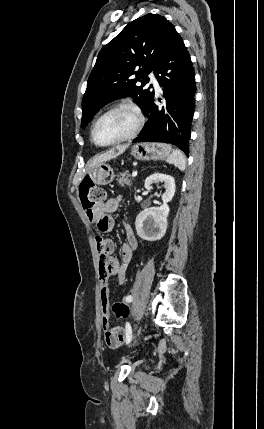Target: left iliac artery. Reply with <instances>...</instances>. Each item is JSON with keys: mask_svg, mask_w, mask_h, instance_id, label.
I'll return each mask as SVG.
<instances>
[{"mask_svg": "<svg viewBox=\"0 0 264 429\" xmlns=\"http://www.w3.org/2000/svg\"><path fill=\"white\" fill-rule=\"evenodd\" d=\"M132 300H133V297L131 295L126 297L127 302H132ZM125 329H126V343H129L132 339V329L128 322L125 325Z\"/></svg>", "mask_w": 264, "mask_h": 429, "instance_id": "1", "label": "left iliac artery"}]
</instances>
